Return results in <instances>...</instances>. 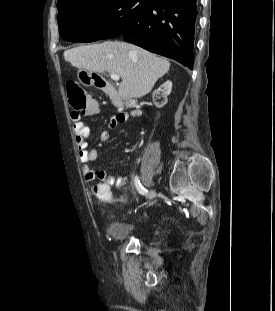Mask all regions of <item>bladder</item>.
I'll return each instance as SVG.
<instances>
[{"label":"bladder","instance_id":"1","mask_svg":"<svg viewBox=\"0 0 275 311\" xmlns=\"http://www.w3.org/2000/svg\"><path fill=\"white\" fill-rule=\"evenodd\" d=\"M135 231V226L119 220L111 221L107 226L108 235L114 240H122L130 237Z\"/></svg>","mask_w":275,"mask_h":311}]
</instances>
